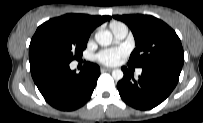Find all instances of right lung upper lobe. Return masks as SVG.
I'll return each mask as SVG.
<instances>
[{
  "instance_id": "right-lung-upper-lobe-1",
  "label": "right lung upper lobe",
  "mask_w": 203,
  "mask_h": 123,
  "mask_svg": "<svg viewBox=\"0 0 203 123\" xmlns=\"http://www.w3.org/2000/svg\"><path fill=\"white\" fill-rule=\"evenodd\" d=\"M57 19L65 20L75 25L81 32L90 33L99 25L111 19V16H90L86 14H66Z\"/></svg>"
}]
</instances>
